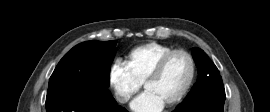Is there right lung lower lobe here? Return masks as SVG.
Masks as SVG:
<instances>
[{"instance_id": "98d812e1", "label": "right lung lower lobe", "mask_w": 270, "mask_h": 112, "mask_svg": "<svg viewBox=\"0 0 270 112\" xmlns=\"http://www.w3.org/2000/svg\"><path fill=\"white\" fill-rule=\"evenodd\" d=\"M47 112H128L114 98L101 100L74 88L46 98Z\"/></svg>"}]
</instances>
